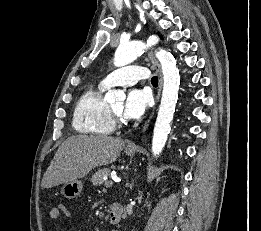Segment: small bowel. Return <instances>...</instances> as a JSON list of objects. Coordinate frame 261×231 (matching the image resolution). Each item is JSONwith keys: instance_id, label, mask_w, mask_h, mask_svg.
<instances>
[{"instance_id": "1", "label": "small bowel", "mask_w": 261, "mask_h": 231, "mask_svg": "<svg viewBox=\"0 0 261 231\" xmlns=\"http://www.w3.org/2000/svg\"><path fill=\"white\" fill-rule=\"evenodd\" d=\"M62 215L69 216V212L66 206L63 204H56L51 208L49 212V216L53 220L59 219ZM111 231H117V230H111Z\"/></svg>"}]
</instances>
